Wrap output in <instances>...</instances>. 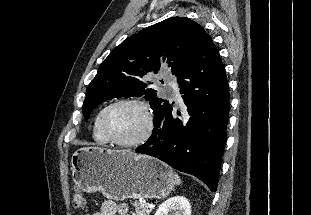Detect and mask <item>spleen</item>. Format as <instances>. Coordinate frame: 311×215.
I'll list each match as a JSON object with an SVG mask.
<instances>
[{"label": "spleen", "mask_w": 311, "mask_h": 215, "mask_svg": "<svg viewBox=\"0 0 311 215\" xmlns=\"http://www.w3.org/2000/svg\"><path fill=\"white\" fill-rule=\"evenodd\" d=\"M173 177H174V180H175V184H181V179L178 176V174L174 173Z\"/></svg>", "instance_id": "1"}]
</instances>
